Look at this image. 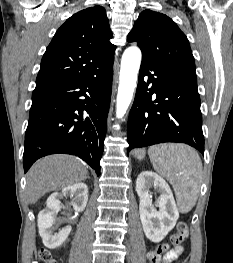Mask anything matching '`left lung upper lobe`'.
<instances>
[{
	"label": "left lung upper lobe",
	"mask_w": 233,
	"mask_h": 263,
	"mask_svg": "<svg viewBox=\"0 0 233 263\" xmlns=\"http://www.w3.org/2000/svg\"><path fill=\"white\" fill-rule=\"evenodd\" d=\"M129 42H137L142 60L175 69L195 72V62L189 41L168 16L144 10L128 35Z\"/></svg>",
	"instance_id": "left-lung-upper-lobe-1"
}]
</instances>
